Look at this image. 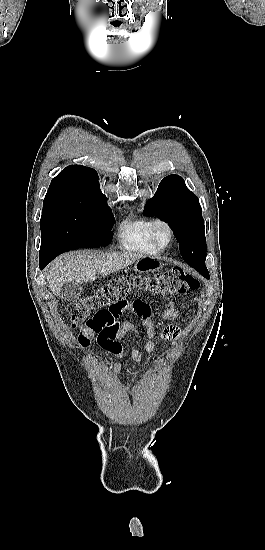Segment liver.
I'll return each mask as SVG.
<instances>
[{"mask_svg":"<svg viewBox=\"0 0 265 550\" xmlns=\"http://www.w3.org/2000/svg\"><path fill=\"white\" fill-rule=\"evenodd\" d=\"M141 258V255L131 253L89 254L74 251L60 256L51 264L47 281L52 293L60 297L65 283L92 282L96 275L119 271Z\"/></svg>","mask_w":265,"mask_h":550,"instance_id":"liver-1","label":"liver"}]
</instances>
